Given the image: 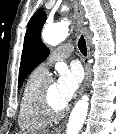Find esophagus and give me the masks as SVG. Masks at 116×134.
Wrapping results in <instances>:
<instances>
[{
  "mask_svg": "<svg viewBox=\"0 0 116 134\" xmlns=\"http://www.w3.org/2000/svg\"><path fill=\"white\" fill-rule=\"evenodd\" d=\"M74 9H75V14H76V17H77V20H78L79 31L82 34H86L84 11H83V7L81 5L80 0H74ZM86 45H87V55L83 60V66H84V69H85V78H84L82 87L80 89V95H82L83 92H84V89H85L86 84H87L89 72H90L89 59L91 57V44H90V42L87 38H86ZM63 129H64V124L60 125L56 129V132L60 133Z\"/></svg>",
  "mask_w": 116,
  "mask_h": 134,
  "instance_id": "esophagus-1",
  "label": "esophagus"
}]
</instances>
